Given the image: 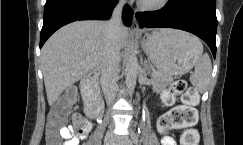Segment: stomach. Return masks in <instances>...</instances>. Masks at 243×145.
<instances>
[{"mask_svg":"<svg viewBox=\"0 0 243 145\" xmlns=\"http://www.w3.org/2000/svg\"><path fill=\"white\" fill-rule=\"evenodd\" d=\"M140 41L150 61L166 76L190 71L203 51L198 38L175 29L155 30Z\"/></svg>","mask_w":243,"mask_h":145,"instance_id":"obj_1","label":"stomach"}]
</instances>
